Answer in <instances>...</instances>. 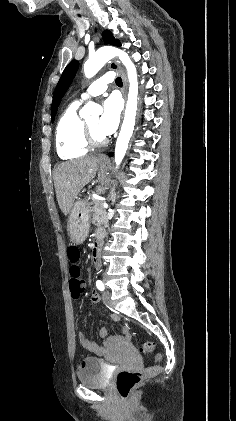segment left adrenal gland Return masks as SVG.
<instances>
[{"mask_svg":"<svg viewBox=\"0 0 236 421\" xmlns=\"http://www.w3.org/2000/svg\"><path fill=\"white\" fill-rule=\"evenodd\" d=\"M109 198H110V200H112L111 204H114V202H116V200H115V198H116L115 186H114V188H112V190H110Z\"/></svg>","mask_w":236,"mask_h":421,"instance_id":"obj_1","label":"left adrenal gland"}]
</instances>
